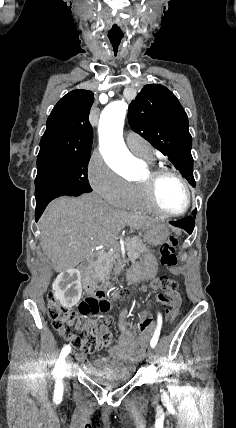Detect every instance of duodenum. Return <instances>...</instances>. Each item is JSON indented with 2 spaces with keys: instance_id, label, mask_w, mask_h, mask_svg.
<instances>
[{
  "instance_id": "duodenum-1",
  "label": "duodenum",
  "mask_w": 236,
  "mask_h": 428,
  "mask_svg": "<svg viewBox=\"0 0 236 428\" xmlns=\"http://www.w3.org/2000/svg\"><path fill=\"white\" fill-rule=\"evenodd\" d=\"M80 272L82 275V280H83V284L85 289L92 295L101 298V299H106L107 297V292L106 290L101 287L100 285H98L93 278L90 275L89 272V265L88 263H83L80 266Z\"/></svg>"
}]
</instances>
